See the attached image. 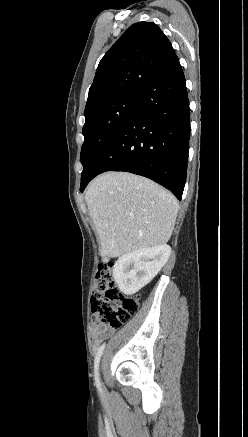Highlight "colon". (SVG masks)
<instances>
[{
    "mask_svg": "<svg viewBox=\"0 0 248 437\" xmlns=\"http://www.w3.org/2000/svg\"><path fill=\"white\" fill-rule=\"evenodd\" d=\"M112 266L109 262L98 267L90 304L94 326L117 329L137 312L139 298L119 291L115 285Z\"/></svg>",
    "mask_w": 248,
    "mask_h": 437,
    "instance_id": "1",
    "label": "colon"
}]
</instances>
